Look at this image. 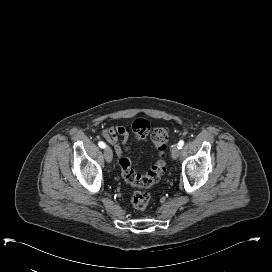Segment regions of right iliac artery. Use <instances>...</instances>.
<instances>
[{
    "mask_svg": "<svg viewBox=\"0 0 272 272\" xmlns=\"http://www.w3.org/2000/svg\"><path fill=\"white\" fill-rule=\"evenodd\" d=\"M98 145H99L100 148H105L106 147V144L104 142H102V141H100L98 143Z\"/></svg>",
    "mask_w": 272,
    "mask_h": 272,
    "instance_id": "right-iliac-artery-1",
    "label": "right iliac artery"
}]
</instances>
